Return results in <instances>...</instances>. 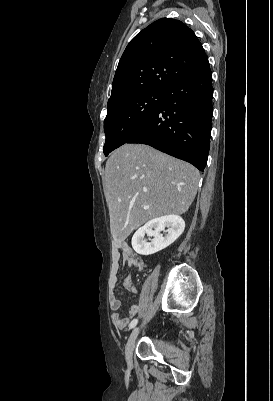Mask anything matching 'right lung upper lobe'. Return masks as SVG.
Listing matches in <instances>:
<instances>
[{"instance_id":"obj_1","label":"right lung upper lobe","mask_w":273,"mask_h":401,"mask_svg":"<svg viewBox=\"0 0 273 401\" xmlns=\"http://www.w3.org/2000/svg\"><path fill=\"white\" fill-rule=\"evenodd\" d=\"M207 64L202 44L190 28L179 20L159 19L127 45L108 104L142 91L164 92Z\"/></svg>"}]
</instances>
